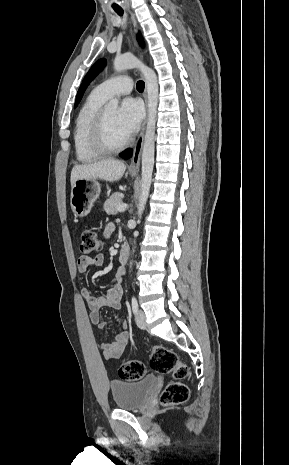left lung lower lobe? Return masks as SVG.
Returning <instances> with one entry per match:
<instances>
[{"label":"left lung lower lobe","instance_id":"0a47b994","mask_svg":"<svg viewBox=\"0 0 289 465\" xmlns=\"http://www.w3.org/2000/svg\"><path fill=\"white\" fill-rule=\"evenodd\" d=\"M131 155H132V150H128V151L122 152L119 156L123 158H129L131 157Z\"/></svg>","mask_w":289,"mask_h":465}]
</instances>
